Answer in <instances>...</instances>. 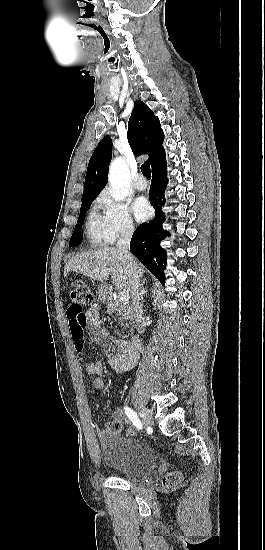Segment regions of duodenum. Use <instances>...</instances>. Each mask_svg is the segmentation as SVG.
I'll return each mask as SVG.
<instances>
[{"label": "duodenum", "mask_w": 265, "mask_h": 550, "mask_svg": "<svg viewBox=\"0 0 265 550\" xmlns=\"http://www.w3.org/2000/svg\"><path fill=\"white\" fill-rule=\"evenodd\" d=\"M102 295H104V292H102ZM128 345L133 350H138L141 347V341L139 337H133L128 340Z\"/></svg>", "instance_id": "obj_1"}]
</instances>
